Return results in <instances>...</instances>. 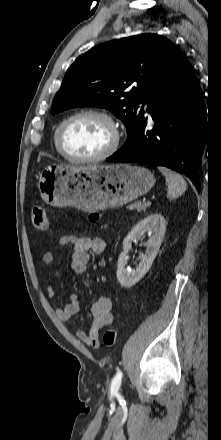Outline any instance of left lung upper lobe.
<instances>
[{
    "label": "left lung upper lobe",
    "mask_w": 221,
    "mask_h": 440,
    "mask_svg": "<svg viewBox=\"0 0 221 440\" xmlns=\"http://www.w3.org/2000/svg\"><path fill=\"white\" fill-rule=\"evenodd\" d=\"M181 58L176 46L157 34L97 45L67 70L51 113L76 106L106 108L123 121L129 138L144 117L140 104H147Z\"/></svg>",
    "instance_id": "obj_1"
}]
</instances>
